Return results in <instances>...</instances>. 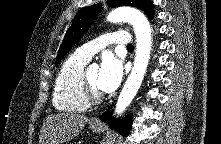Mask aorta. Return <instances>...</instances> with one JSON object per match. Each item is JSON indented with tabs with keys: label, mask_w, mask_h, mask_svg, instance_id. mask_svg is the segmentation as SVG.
<instances>
[{
	"label": "aorta",
	"mask_w": 221,
	"mask_h": 144,
	"mask_svg": "<svg viewBox=\"0 0 221 144\" xmlns=\"http://www.w3.org/2000/svg\"><path fill=\"white\" fill-rule=\"evenodd\" d=\"M107 20L112 23L122 21L131 23L136 35L134 65L116 103L115 114L120 115L129 106L143 81L151 52V28L147 18L140 11L130 7H119L112 10L108 14Z\"/></svg>",
	"instance_id": "obj_1"
}]
</instances>
